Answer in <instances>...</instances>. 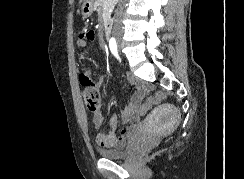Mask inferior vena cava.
I'll use <instances>...</instances> for the list:
<instances>
[{"instance_id":"602c4592","label":"inferior vena cava","mask_w":244,"mask_h":179,"mask_svg":"<svg viewBox=\"0 0 244 179\" xmlns=\"http://www.w3.org/2000/svg\"><path fill=\"white\" fill-rule=\"evenodd\" d=\"M119 16H122V12L120 10H117L115 14V22H114V30L115 32H121L122 24L119 20Z\"/></svg>"}]
</instances>
